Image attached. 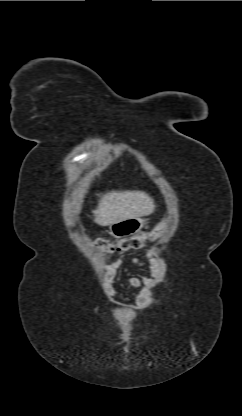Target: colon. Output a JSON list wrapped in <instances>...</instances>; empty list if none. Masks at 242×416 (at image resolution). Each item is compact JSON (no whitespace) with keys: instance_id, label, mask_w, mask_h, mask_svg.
<instances>
[{"instance_id":"colon-1","label":"colon","mask_w":242,"mask_h":416,"mask_svg":"<svg viewBox=\"0 0 242 416\" xmlns=\"http://www.w3.org/2000/svg\"><path fill=\"white\" fill-rule=\"evenodd\" d=\"M165 229V224L156 226L147 234L134 235L120 240L116 245L111 244L108 240L100 238L97 240V246L101 247L106 253L124 252L142 248L147 241L157 240Z\"/></svg>"}]
</instances>
